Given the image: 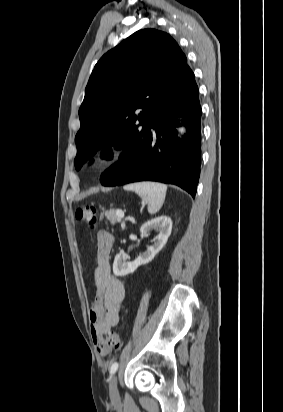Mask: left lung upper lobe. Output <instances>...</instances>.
I'll use <instances>...</instances> for the list:
<instances>
[{"label": "left lung upper lobe", "mask_w": 283, "mask_h": 412, "mask_svg": "<svg viewBox=\"0 0 283 412\" xmlns=\"http://www.w3.org/2000/svg\"><path fill=\"white\" fill-rule=\"evenodd\" d=\"M191 72L175 40L155 29L139 30L95 65L79 109L75 142L79 170L103 149H125L130 136L147 130L157 113Z\"/></svg>", "instance_id": "1"}]
</instances>
